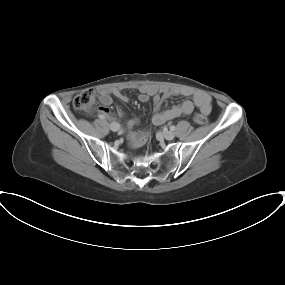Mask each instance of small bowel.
Wrapping results in <instances>:
<instances>
[{
	"label": "small bowel",
	"instance_id": "c3829d8e",
	"mask_svg": "<svg viewBox=\"0 0 285 285\" xmlns=\"http://www.w3.org/2000/svg\"><path fill=\"white\" fill-rule=\"evenodd\" d=\"M139 95L138 99L141 102H147L150 97L153 98L154 102V115L152 121L156 125L164 124L165 122L178 118L180 116L189 115L192 113L194 106H197L203 114H209L212 109L211 97L205 93H194L192 100H185L178 105H175L167 110L160 111V107L164 100L177 96L179 94H187L177 89L171 88H159L155 85H141L138 87ZM99 99L103 105L100 108V113L108 118L112 115L107 106L112 104V95L117 97L122 102H127L128 97L121 88L110 87L98 89ZM119 116L123 115L122 107L117 108ZM139 123L138 118H132L127 122V128L129 130L128 139L133 147L142 146L148 138V134L145 131L132 132L130 129Z\"/></svg>",
	"mask_w": 285,
	"mask_h": 285
}]
</instances>
